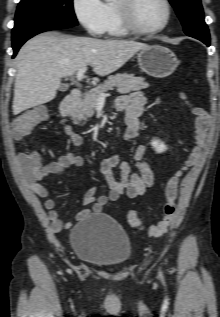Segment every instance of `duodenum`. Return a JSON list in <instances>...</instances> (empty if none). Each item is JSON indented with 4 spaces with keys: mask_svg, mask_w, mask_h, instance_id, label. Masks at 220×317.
Returning <instances> with one entry per match:
<instances>
[{
    "mask_svg": "<svg viewBox=\"0 0 220 317\" xmlns=\"http://www.w3.org/2000/svg\"><path fill=\"white\" fill-rule=\"evenodd\" d=\"M83 95L80 88L73 89L60 104V115L62 123L69 121L71 114L76 110V106Z\"/></svg>",
    "mask_w": 220,
    "mask_h": 317,
    "instance_id": "duodenum-1",
    "label": "duodenum"
}]
</instances>
